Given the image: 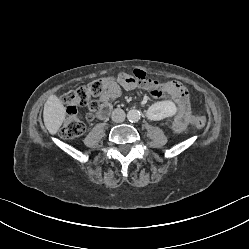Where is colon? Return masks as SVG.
<instances>
[{"label": "colon", "instance_id": "1", "mask_svg": "<svg viewBox=\"0 0 249 249\" xmlns=\"http://www.w3.org/2000/svg\"><path fill=\"white\" fill-rule=\"evenodd\" d=\"M114 78H103L91 82L87 86L68 91L62 97L63 103L67 106L63 125L60 129V136L64 139H72L82 135L86 130V125L82 115L77 111L78 105H88L90 114L94 115L101 109L98 103L90 101L91 97L100 95L103 90L115 83ZM207 118L203 115H196L193 118V125L203 128L207 125Z\"/></svg>", "mask_w": 249, "mask_h": 249}]
</instances>
